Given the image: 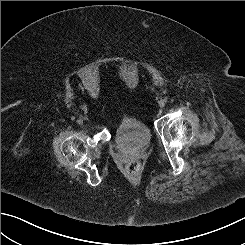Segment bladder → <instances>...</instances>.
I'll return each mask as SVG.
<instances>
[{
	"label": "bladder",
	"mask_w": 245,
	"mask_h": 245,
	"mask_svg": "<svg viewBox=\"0 0 245 245\" xmlns=\"http://www.w3.org/2000/svg\"><path fill=\"white\" fill-rule=\"evenodd\" d=\"M113 138L122 149L132 151L148 145L151 140V132L144 121L124 117L115 128Z\"/></svg>",
	"instance_id": "1"
}]
</instances>
